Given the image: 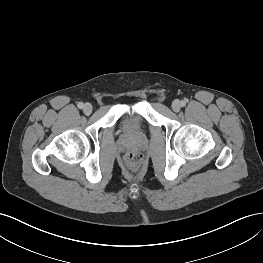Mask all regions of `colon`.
I'll return each mask as SVG.
<instances>
[{"label": "colon", "instance_id": "1", "mask_svg": "<svg viewBox=\"0 0 263 263\" xmlns=\"http://www.w3.org/2000/svg\"><path fill=\"white\" fill-rule=\"evenodd\" d=\"M125 162L134 168H138L143 163V155L139 152H129L125 156Z\"/></svg>", "mask_w": 263, "mask_h": 263}]
</instances>
